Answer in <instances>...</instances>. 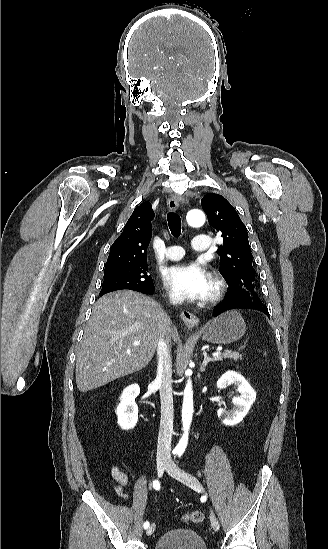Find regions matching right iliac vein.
Here are the masks:
<instances>
[{"mask_svg": "<svg viewBox=\"0 0 328 549\" xmlns=\"http://www.w3.org/2000/svg\"><path fill=\"white\" fill-rule=\"evenodd\" d=\"M166 464L167 462H165V460H160L158 463H157V471H158V475L159 476H162L164 471H165V467H166ZM155 531V524H151V526L147 529L146 531V534L148 536L152 535Z\"/></svg>", "mask_w": 328, "mask_h": 549, "instance_id": "right-iliac-vein-1", "label": "right iliac vein"}]
</instances>
